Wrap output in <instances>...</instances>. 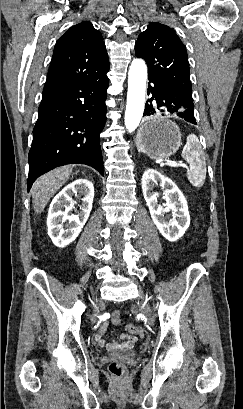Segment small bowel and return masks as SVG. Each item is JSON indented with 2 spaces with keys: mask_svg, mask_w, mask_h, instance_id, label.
I'll list each match as a JSON object with an SVG mask.
<instances>
[{
  "mask_svg": "<svg viewBox=\"0 0 243 409\" xmlns=\"http://www.w3.org/2000/svg\"><path fill=\"white\" fill-rule=\"evenodd\" d=\"M112 322V320H111ZM113 323V322H112ZM108 328V321H105L101 324L98 329V332L95 334L94 339L98 346L104 347L108 350H116V349H128L133 347L136 343L138 336L131 333L130 335H121L118 339L106 344L104 340V334Z\"/></svg>",
  "mask_w": 243,
  "mask_h": 409,
  "instance_id": "1",
  "label": "small bowel"
}]
</instances>
